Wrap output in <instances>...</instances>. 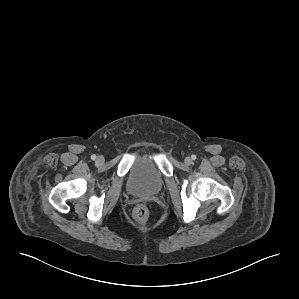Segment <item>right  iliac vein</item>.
I'll return each instance as SVG.
<instances>
[{"instance_id":"right-iliac-vein-1","label":"right iliac vein","mask_w":299,"mask_h":299,"mask_svg":"<svg viewBox=\"0 0 299 299\" xmlns=\"http://www.w3.org/2000/svg\"><path fill=\"white\" fill-rule=\"evenodd\" d=\"M96 162L98 164H102L104 162V157L103 156H98L97 159H96Z\"/></svg>"}]
</instances>
